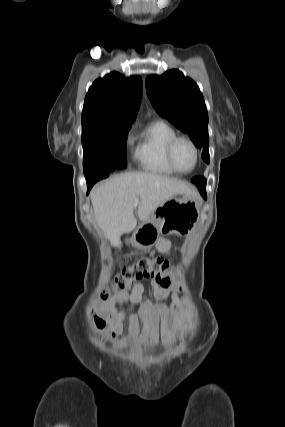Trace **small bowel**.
Here are the masks:
<instances>
[{"instance_id": "obj_1", "label": "small bowel", "mask_w": 285, "mask_h": 427, "mask_svg": "<svg viewBox=\"0 0 285 427\" xmlns=\"http://www.w3.org/2000/svg\"><path fill=\"white\" fill-rule=\"evenodd\" d=\"M157 249L161 253L169 254L171 250V243L167 239L161 238L157 242ZM150 285L153 288V295L156 299L161 300L170 296L174 301L173 309H179L182 300L176 293L170 292L168 288L160 286L154 280L150 281ZM144 289L145 285L142 282H136L130 293H121L116 300L108 303L107 309H105V306L101 302H96L95 308L105 317L111 330L114 333H120L122 331L123 316L118 311L117 305H121L125 302L138 305V315H132L129 319L130 328L127 343L138 340L139 347L146 350L155 346L159 342L160 331L168 338L169 341H172L173 337L170 322L171 313L162 305L153 304L149 300L144 301L142 299ZM160 315L162 316L161 321L159 318ZM139 320L142 321L143 324L140 335Z\"/></svg>"}]
</instances>
